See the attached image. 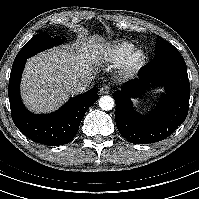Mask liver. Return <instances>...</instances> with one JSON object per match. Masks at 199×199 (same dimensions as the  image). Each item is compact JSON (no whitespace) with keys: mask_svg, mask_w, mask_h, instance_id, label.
<instances>
[{"mask_svg":"<svg viewBox=\"0 0 199 199\" xmlns=\"http://www.w3.org/2000/svg\"><path fill=\"white\" fill-rule=\"evenodd\" d=\"M106 48L99 35L81 36L72 46L52 48L31 57L21 80V95L26 107L36 113H48L74 95L73 84L92 76Z\"/></svg>","mask_w":199,"mask_h":199,"instance_id":"1","label":"liver"}]
</instances>
